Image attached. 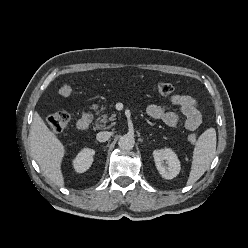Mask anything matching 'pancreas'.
<instances>
[{"label":"pancreas","instance_id":"1","mask_svg":"<svg viewBox=\"0 0 248 248\" xmlns=\"http://www.w3.org/2000/svg\"><path fill=\"white\" fill-rule=\"evenodd\" d=\"M115 114H112L110 118L107 117V115H103L102 119L99 120V123L96 124V129H102L104 128L108 120L114 121L115 120Z\"/></svg>","mask_w":248,"mask_h":248}]
</instances>
